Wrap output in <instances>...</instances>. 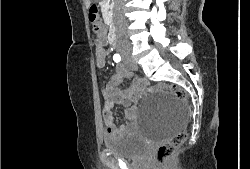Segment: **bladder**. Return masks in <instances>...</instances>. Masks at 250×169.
Wrapping results in <instances>:
<instances>
[{
    "instance_id": "1",
    "label": "bladder",
    "mask_w": 250,
    "mask_h": 169,
    "mask_svg": "<svg viewBox=\"0 0 250 169\" xmlns=\"http://www.w3.org/2000/svg\"><path fill=\"white\" fill-rule=\"evenodd\" d=\"M103 146L106 151L113 152L121 158H138L143 152L149 150L144 134L134 132L108 133L103 138Z\"/></svg>"
}]
</instances>
